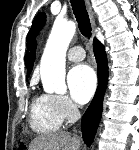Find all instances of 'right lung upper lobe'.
Here are the masks:
<instances>
[{"mask_svg": "<svg viewBox=\"0 0 139 150\" xmlns=\"http://www.w3.org/2000/svg\"><path fill=\"white\" fill-rule=\"evenodd\" d=\"M35 53H36V43H34L32 50L30 52V57H29V62H28V70H27V77L30 75L32 68H33V64H34V60H35Z\"/></svg>", "mask_w": 139, "mask_h": 150, "instance_id": "right-lung-upper-lobe-1", "label": "right lung upper lobe"}]
</instances>
